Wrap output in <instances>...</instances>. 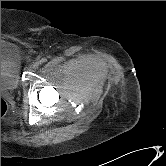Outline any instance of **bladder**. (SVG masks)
Listing matches in <instances>:
<instances>
[{
	"instance_id": "bladder-1",
	"label": "bladder",
	"mask_w": 166,
	"mask_h": 166,
	"mask_svg": "<svg viewBox=\"0 0 166 166\" xmlns=\"http://www.w3.org/2000/svg\"><path fill=\"white\" fill-rule=\"evenodd\" d=\"M21 83V58L16 44L1 39V91H13Z\"/></svg>"
}]
</instances>
